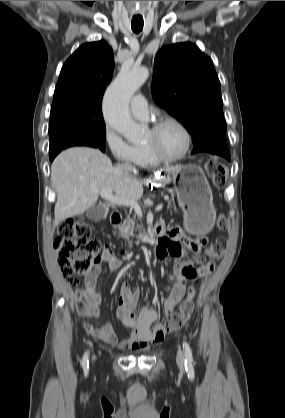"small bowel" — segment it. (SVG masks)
I'll use <instances>...</instances> for the list:
<instances>
[{
  "label": "small bowel",
  "instance_id": "1",
  "mask_svg": "<svg viewBox=\"0 0 285 418\" xmlns=\"http://www.w3.org/2000/svg\"><path fill=\"white\" fill-rule=\"evenodd\" d=\"M206 243L205 237L189 238L169 233L162 227L157 228V245H161L167 251V256L181 258L183 251L189 250L193 253V257H196ZM102 265H107L111 269H119L122 266V261L115 256L112 248H105L94 268L88 274L84 288L75 289L72 294L75 310L80 317H96L102 321L100 326L85 323L84 330L94 338L116 345L122 350L141 349L148 344L161 343L165 339L166 333H158V329L162 327L161 324L153 326L157 319L156 310L144 306L136 314L135 308L140 293L138 290H132L126 282L121 285L115 310L122 324L132 329V335L127 339L118 340L114 324L103 320L100 312L102 297L96 290L95 281L101 272ZM211 267H213L211 263L195 265L193 258H187L175 264L171 275L173 288L163 304L165 315H169L186 295L185 281L190 280L193 288L210 271Z\"/></svg>",
  "mask_w": 285,
  "mask_h": 418
}]
</instances>
